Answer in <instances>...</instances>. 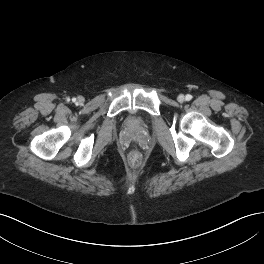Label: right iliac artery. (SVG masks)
I'll return each mask as SVG.
<instances>
[{"instance_id":"obj_1","label":"right iliac artery","mask_w":264,"mask_h":264,"mask_svg":"<svg viewBox=\"0 0 264 264\" xmlns=\"http://www.w3.org/2000/svg\"><path fill=\"white\" fill-rule=\"evenodd\" d=\"M72 101H73V102H75V101H76V99H75V98H73V99H72Z\"/></svg>"}]
</instances>
